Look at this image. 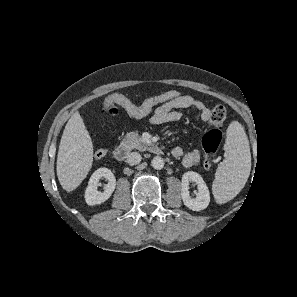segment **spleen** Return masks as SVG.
I'll list each match as a JSON object with an SVG mask.
<instances>
[{"label": "spleen", "mask_w": 297, "mask_h": 297, "mask_svg": "<svg viewBox=\"0 0 297 297\" xmlns=\"http://www.w3.org/2000/svg\"><path fill=\"white\" fill-rule=\"evenodd\" d=\"M225 159L216 171L214 196L233 197L245 185L251 169V154L242 125L234 121L227 129Z\"/></svg>", "instance_id": "1"}]
</instances>
